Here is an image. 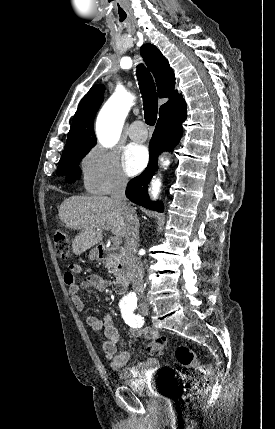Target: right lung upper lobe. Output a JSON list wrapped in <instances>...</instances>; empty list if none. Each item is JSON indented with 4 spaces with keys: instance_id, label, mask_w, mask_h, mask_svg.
I'll return each mask as SVG.
<instances>
[{
    "instance_id": "cb5924a9",
    "label": "right lung upper lobe",
    "mask_w": 275,
    "mask_h": 429,
    "mask_svg": "<svg viewBox=\"0 0 275 429\" xmlns=\"http://www.w3.org/2000/svg\"><path fill=\"white\" fill-rule=\"evenodd\" d=\"M141 54L155 77L159 97H169V100L160 107L159 119L168 117L182 104H185L182 95L175 90L174 72L167 59L154 45L144 44ZM104 90V85H94L81 100L74 115L62 156L88 153L96 144L93 122L95 114L103 102Z\"/></svg>"
}]
</instances>
